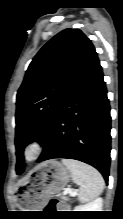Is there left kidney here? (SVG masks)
I'll return each instance as SVG.
<instances>
[{
    "instance_id": "left-kidney-1",
    "label": "left kidney",
    "mask_w": 123,
    "mask_h": 219,
    "mask_svg": "<svg viewBox=\"0 0 123 219\" xmlns=\"http://www.w3.org/2000/svg\"><path fill=\"white\" fill-rule=\"evenodd\" d=\"M103 200L102 198H97L91 203L76 206L74 211H102Z\"/></svg>"
}]
</instances>
